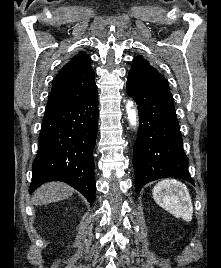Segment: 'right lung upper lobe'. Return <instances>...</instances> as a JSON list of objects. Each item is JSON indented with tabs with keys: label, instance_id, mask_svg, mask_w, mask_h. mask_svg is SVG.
<instances>
[{
	"label": "right lung upper lobe",
	"instance_id": "obj_1",
	"mask_svg": "<svg viewBox=\"0 0 221 268\" xmlns=\"http://www.w3.org/2000/svg\"><path fill=\"white\" fill-rule=\"evenodd\" d=\"M90 60L82 51L63 66L53 81L46 108L76 103L97 90Z\"/></svg>",
	"mask_w": 221,
	"mask_h": 268
}]
</instances>
